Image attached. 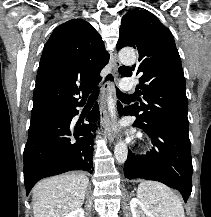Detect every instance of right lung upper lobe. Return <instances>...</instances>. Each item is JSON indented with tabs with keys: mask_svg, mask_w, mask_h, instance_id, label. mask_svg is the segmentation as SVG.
Instances as JSON below:
<instances>
[{
	"mask_svg": "<svg viewBox=\"0 0 211 217\" xmlns=\"http://www.w3.org/2000/svg\"><path fill=\"white\" fill-rule=\"evenodd\" d=\"M109 54L99 33L82 19L59 25L44 46L31 119L60 112L93 90Z\"/></svg>",
	"mask_w": 211,
	"mask_h": 217,
	"instance_id": "1",
	"label": "right lung upper lobe"
}]
</instances>
